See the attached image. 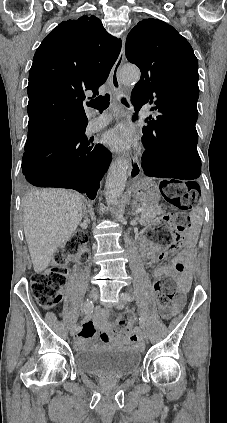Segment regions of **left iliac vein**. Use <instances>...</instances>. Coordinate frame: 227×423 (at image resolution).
I'll use <instances>...</instances> for the list:
<instances>
[{
    "label": "left iliac vein",
    "mask_w": 227,
    "mask_h": 423,
    "mask_svg": "<svg viewBox=\"0 0 227 423\" xmlns=\"http://www.w3.org/2000/svg\"><path fill=\"white\" fill-rule=\"evenodd\" d=\"M124 304H125L124 294H121L120 295V302H118L116 304V307L118 309H122L124 307ZM148 336H149L148 331L147 330H143V332H142V338L145 339V340H147L148 339Z\"/></svg>",
    "instance_id": "1"
}]
</instances>
